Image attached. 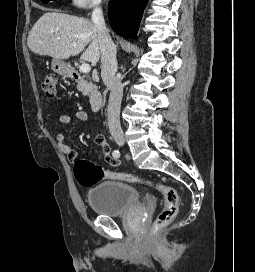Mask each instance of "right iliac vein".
Returning a JSON list of instances; mask_svg holds the SVG:
<instances>
[{"mask_svg": "<svg viewBox=\"0 0 255 272\" xmlns=\"http://www.w3.org/2000/svg\"><path fill=\"white\" fill-rule=\"evenodd\" d=\"M114 140L120 146L124 145V143H125V138H124L123 134H115L114 135Z\"/></svg>", "mask_w": 255, "mask_h": 272, "instance_id": "63e3f726", "label": "right iliac vein"}]
</instances>
